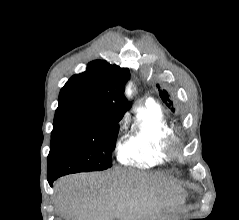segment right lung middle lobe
Returning a JSON list of instances; mask_svg holds the SVG:
<instances>
[{
  "instance_id": "obj_1",
  "label": "right lung middle lobe",
  "mask_w": 239,
  "mask_h": 220,
  "mask_svg": "<svg viewBox=\"0 0 239 220\" xmlns=\"http://www.w3.org/2000/svg\"><path fill=\"white\" fill-rule=\"evenodd\" d=\"M120 120V117L54 119L47 158L48 178L110 168Z\"/></svg>"
}]
</instances>
